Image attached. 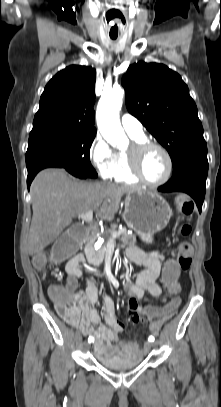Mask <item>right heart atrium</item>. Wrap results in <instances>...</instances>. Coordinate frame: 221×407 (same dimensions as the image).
I'll return each instance as SVG.
<instances>
[{
    "instance_id": "d8ad5b80",
    "label": "right heart atrium",
    "mask_w": 221,
    "mask_h": 407,
    "mask_svg": "<svg viewBox=\"0 0 221 407\" xmlns=\"http://www.w3.org/2000/svg\"><path fill=\"white\" fill-rule=\"evenodd\" d=\"M92 165L104 179L112 178L117 167V153L105 139L97 135L89 151Z\"/></svg>"
}]
</instances>
